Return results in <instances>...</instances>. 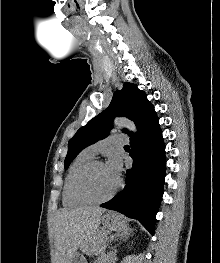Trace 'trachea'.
Listing matches in <instances>:
<instances>
[{
  "instance_id": "1",
  "label": "trachea",
  "mask_w": 220,
  "mask_h": 263,
  "mask_svg": "<svg viewBox=\"0 0 220 263\" xmlns=\"http://www.w3.org/2000/svg\"><path fill=\"white\" fill-rule=\"evenodd\" d=\"M124 147H129L128 145H125Z\"/></svg>"
}]
</instances>
